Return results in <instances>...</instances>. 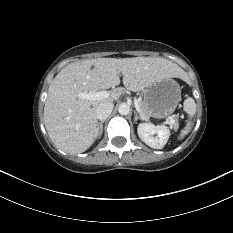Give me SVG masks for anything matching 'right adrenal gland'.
Wrapping results in <instances>:
<instances>
[{
    "mask_svg": "<svg viewBox=\"0 0 233 233\" xmlns=\"http://www.w3.org/2000/svg\"><path fill=\"white\" fill-rule=\"evenodd\" d=\"M104 122H105V121L102 120V121L99 123V125H98L99 137H101V135H102V133H103V123H104Z\"/></svg>",
    "mask_w": 233,
    "mask_h": 233,
    "instance_id": "right-adrenal-gland-1",
    "label": "right adrenal gland"
}]
</instances>
